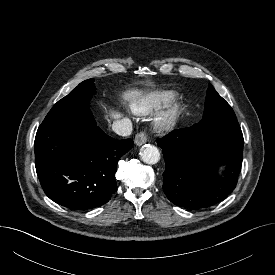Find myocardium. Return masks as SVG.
<instances>
[{
    "label": "myocardium",
    "mask_w": 275,
    "mask_h": 275,
    "mask_svg": "<svg viewBox=\"0 0 275 275\" xmlns=\"http://www.w3.org/2000/svg\"><path fill=\"white\" fill-rule=\"evenodd\" d=\"M182 114L183 108L181 105L171 107L157 118L156 128L162 132L175 128L179 124Z\"/></svg>",
    "instance_id": "f54148a6"
}]
</instances>
